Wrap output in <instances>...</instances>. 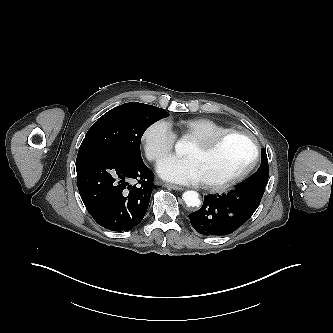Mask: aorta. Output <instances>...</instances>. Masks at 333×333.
Listing matches in <instances>:
<instances>
[{
  "label": "aorta",
  "mask_w": 333,
  "mask_h": 333,
  "mask_svg": "<svg viewBox=\"0 0 333 333\" xmlns=\"http://www.w3.org/2000/svg\"><path fill=\"white\" fill-rule=\"evenodd\" d=\"M184 148V141H179L175 145L177 154H181ZM183 201L188 207H199L201 201L199 199V194L196 191H185L182 195Z\"/></svg>",
  "instance_id": "aorta-1"
}]
</instances>
